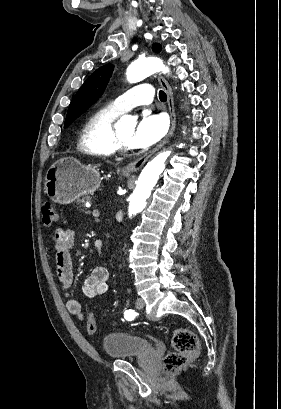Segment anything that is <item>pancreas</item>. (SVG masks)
<instances>
[{
	"mask_svg": "<svg viewBox=\"0 0 281 409\" xmlns=\"http://www.w3.org/2000/svg\"><path fill=\"white\" fill-rule=\"evenodd\" d=\"M87 200H91V198H81V200H77V202H87Z\"/></svg>",
	"mask_w": 281,
	"mask_h": 409,
	"instance_id": "pancreas-1",
	"label": "pancreas"
}]
</instances>
